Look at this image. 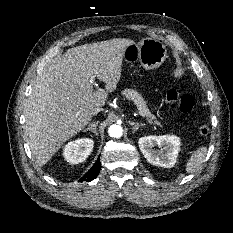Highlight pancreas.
<instances>
[{"label": "pancreas", "instance_id": "1", "mask_svg": "<svg viewBox=\"0 0 233 233\" xmlns=\"http://www.w3.org/2000/svg\"><path fill=\"white\" fill-rule=\"evenodd\" d=\"M122 94L125 96L126 99L133 101L136 104V106L139 110V113L142 116H147L151 119H155V117L150 113V111L146 105V102L144 101L142 96L136 90L125 89L122 92Z\"/></svg>", "mask_w": 233, "mask_h": 233}]
</instances>
